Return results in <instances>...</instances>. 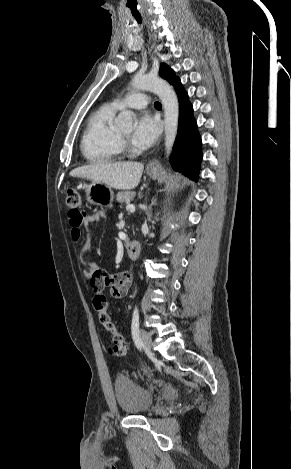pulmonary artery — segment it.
Instances as JSON below:
<instances>
[{
    "mask_svg": "<svg viewBox=\"0 0 291 469\" xmlns=\"http://www.w3.org/2000/svg\"><path fill=\"white\" fill-rule=\"evenodd\" d=\"M150 103L149 96L144 92L133 93L123 99H117L113 105L118 109L130 107L134 109H143Z\"/></svg>",
    "mask_w": 291,
    "mask_h": 469,
    "instance_id": "obj_1",
    "label": "pulmonary artery"
}]
</instances>
